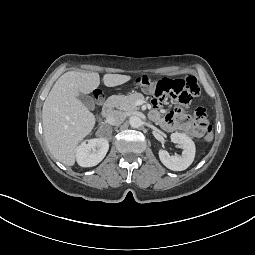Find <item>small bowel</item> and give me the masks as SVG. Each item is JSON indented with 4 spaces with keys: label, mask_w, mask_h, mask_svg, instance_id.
<instances>
[{
    "label": "small bowel",
    "mask_w": 255,
    "mask_h": 255,
    "mask_svg": "<svg viewBox=\"0 0 255 255\" xmlns=\"http://www.w3.org/2000/svg\"><path fill=\"white\" fill-rule=\"evenodd\" d=\"M151 116L161 122L162 127L167 131H181L192 137H201L204 133L205 127L193 121L181 109L174 112H166L161 114L159 111L154 110Z\"/></svg>",
    "instance_id": "small-bowel-1"
}]
</instances>
